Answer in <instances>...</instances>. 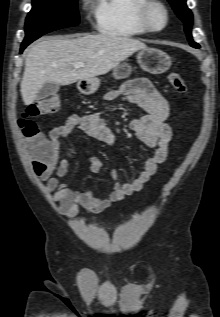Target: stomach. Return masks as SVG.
Here are the masks:
<instances>
[{
  "instance_id": "stomach-1",
  "label": "stomach",
  "mask_w": 220,
  "mask_h": 317,
  "mask_svg": "<svg viewBox=\"0 0 220 317\" xmlns=\"http://www.w3.org/2000/svg\"><path fill=\"white\" fill-rule=\"evenodd\" d=\"M137 62L144 71L151 74L164 73L172 64L171 57L166 52L155 48L141 49L137 54ZM131 71V66L123 62L114 68L113 76L116 79L127 78ZM99 86L98 78L79 80L77 83L78 90L83 94H92L97 91Z\"/></svg>"
}]
</instances>
